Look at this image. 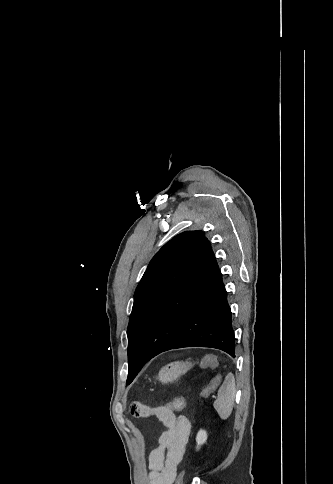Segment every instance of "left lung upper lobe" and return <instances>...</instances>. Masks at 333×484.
<instances>
[{
  "label": "left lung upper lobe",
  "instance_id": "left-lung-upper-lobe-1",
  "mask_svg": "<svg viewBox=\"0 0 333 484\" xmlns=\"http://www.w3.org/2000/svg\"><path fill=\"white\" fill-rule=\"evenodd\" d=\"M201 231L183 232L168 241L150 261L134 294L128 336V378L131 383L143 365H135L132 357L152 313L183 271L196 249L206 242ZM176 304V303H175Z\"/></svg>",
  "mask_w": 333,
  "mask_h": 484
}]
</instances>
